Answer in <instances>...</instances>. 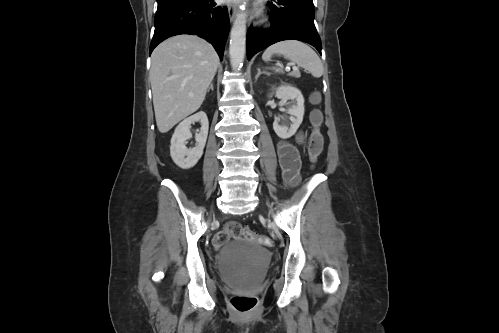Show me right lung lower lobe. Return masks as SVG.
Masks as SVG:
<instances>
[{
  "label": "right lung lower lobe",
  "instance_id": "obj_1",
  "mask_svg": "<svg viewBox=\"0 0 499 333\" xmlns=\"http://www.w3.org/2000/svg\"><path fill=\"white\" fill-rule=\"evenodd\" d=\"M157 2L150 54L159 43L171 36L192 34L210 42L220 59H223L230 25L226 7L216 5L212 0H157Z\"/></svg>",
  "mask_w": 499,
  "mask_h": 333
}]
</instances>
